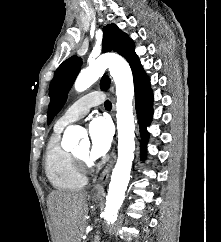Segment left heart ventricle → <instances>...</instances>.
Returning <instances> with one entry per match:
<instances>
[{
	"label": "left heart ventricle",
	"instance_id": "obj_1",
	"mask_svg": "<svg viewBox=\"0 0 221 242\" xmlns=\"http://www.w3.org/2000/svg\"><path fill=\"white\" fill-rule=\"evenodd\" d=\"M76 154L81 157H87L88 156V146H83V147L79 148L76 151Z\"/></svg>",
	"mask_w": 221,
	"mask_h": 242
}]
</instances>
